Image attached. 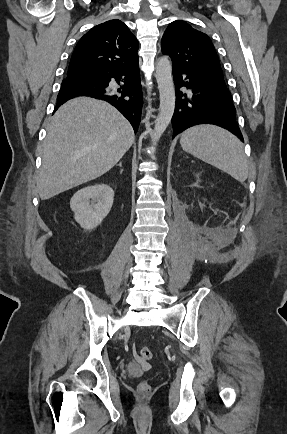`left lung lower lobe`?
<instances>
[{"label":"left lung lower lobe","mask_w":287,"mask_h":434,"mask_svg":"<svg viewBox=\"0 0 287 434\" xmlns=\"http://www.w3.org/2000/svg\"><path fill=\"white\" fill-rule=\"evenodd\" d=\"M176 88L175 111L172 117L173 138L185 129L198 124L223 127L241 141L243 136L236 122V109L225 84L185 67L172 65ZM191 90L187 95L179 89Z\"/></svg>","instance_id":"left-lung-lower-lobe-1"}]
</instances>
